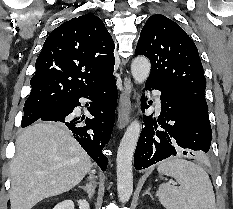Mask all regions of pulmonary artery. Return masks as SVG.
<instances>
[{
  "instance_id": "obj_1",
  "label": "pulmonary artery",
  "mask_w": 233,
  "mask_h": 209,
  "mask_svg": "<svg viewBox=\"0 0 233 209\" xmlns=\"http://www.w3.org/2000/svg\"><path fill=\"white\" fill-rule=\"evenodd\" d=\"M153 94L156 95L155 103H156L157 107H160L161 106V101H160V98L158 97V93L156 91H153Z\"/></svg>"
}]
</instances>
